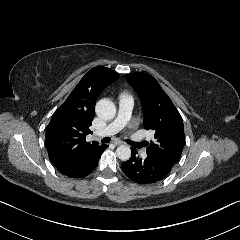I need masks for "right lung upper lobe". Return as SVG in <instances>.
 Instances as JSON below:
<instances>
[{"label": "right lung upper lobe", "instance_id": "cb5924a9", "mask_svg": "<svg viewBox=\"0 0 240 240\" xmlns=\"http://www.w3.org/2000/svg\"><path fill=\"white\" fill-rule=\"evenodd\" d=\"M120 75L108 68H92L53 114L46 129V146L54 166L74 164L103 145L87 142L95 116V103L102 90Z\"/></svg>", "mask_w": 240, "mask_h": 240}]
</instances>
